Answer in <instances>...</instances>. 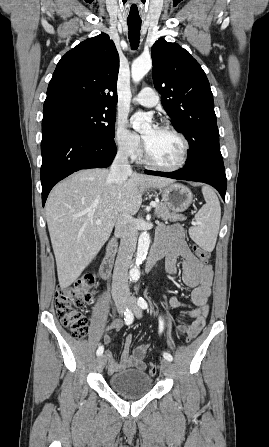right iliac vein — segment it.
Here are the masks:
<instances>
[{
  "label": "right iliac vein",
  "instance_id": "obj_1",
  "mask_svg": "<svg viewBox=\"0 0 269 447\" xmlns=\"http://www.w3.org/2000/svg\"><path fill=\"white\" fill-rule=\"evenodd\" d=\"M126 306H127V303L125 301H122V300L116 301V308L120 314H122L125 311ZM106 360L107 359H106L105 355H101L97 358L96 364H97L98 371H101L103 369V367L106 364Z\"/></svg>",
  "mask_w": 269,
  "mask_h": 447
}]
</instances>
